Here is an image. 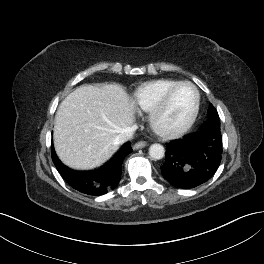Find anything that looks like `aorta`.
I'll return each mask as SVG.
<instances>
[{"label":"aorta","instance_id":"obj_1","mask_svg":"<svg viewBox=\"0 0 264 264\" xmlns=\"http://www.w3.org/2000/svg\"><path fill=\"white\" fill-rule=\"evenodd\" d=\"M149 155L156 160L162 159L165 155V149L161 144H152L149 147Z\"/></svg>","mask_w":264,"mask_h":264}]
</instances>
